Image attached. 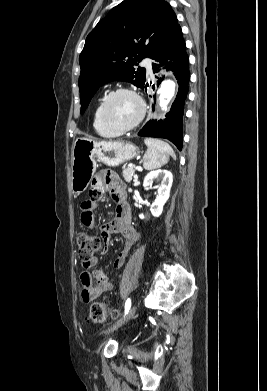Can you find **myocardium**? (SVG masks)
Returning <instances> with one entry per match:
<instances>
[{
    "label": "myocardium",
    "mask_w": 267,
    "mask_h": 391,
    "mask_svg": "<svg viewBox=\"0 0 267 391\" xmlns=\"http://www.w3.org/2000/svg\"><path fill=\"white\" fill-rule=\"evenodd\" d=\"M121 93H128V94L132 95L137 100V102L139 104V108H140L137 118L128 126H118V125L114 124L113 122H111V120L109 119V117L107 115V105H108L110 99L113 96H115L117 94H121ZM145 114H146L145 101L143 100L141 95L136 90L129 88V87H118V88L111 90L104 97V99L101 102L100 116H101L103 123L109 129H111L115 132H118V133H126V132H129V131L135 129L142 122V120L145 117Z\"/></svg>",
    "instance_id": "1"
}]
</instances>
